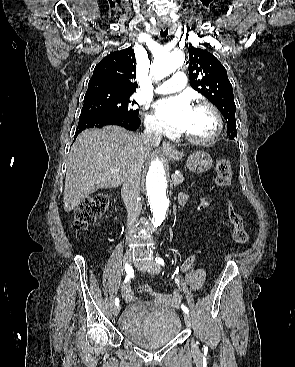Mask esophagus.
I'll return each mask as SVG.
<instances>
[{
	"instance_id": "esophagus-1",
	"label": "esophagus",
	"mask_w": 295,
	"mask_h": 367,
	"mask_svg": "<svg viewBox=\"0 0 295 367\" xmlns=\"http://www.w3.org/2000/svg\"><path fill=\"white\" fill-rule=\"evenodd\" d=\"M163 150L166 152H174L175 149L171 146L169 142L164 141L162 144Z\"/></svg>"
}]
</instances>
